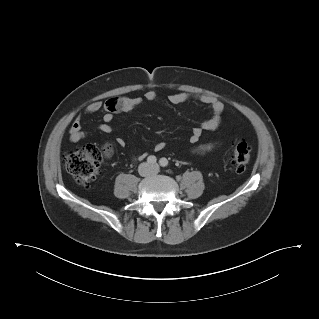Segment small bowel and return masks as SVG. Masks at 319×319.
Here are the masks:
<instances>
[{"label": "small bowel", "mask_w": 319, "mask_h": 319, "mask_svg": "<svg viewBox=\"0 0 319 319\" xmlns=\"http://www.w3.org/2000/svg\"><path fill=\"white\" fill-rule=\"evenodd\" d=\"M157 93L154 90H147L143 97H137V96H127V97H121V98H112L110 100L117 99V104L109 105V101L101 102V101H94L90 103L86 110V114H95L98 112H102V120L103 122L99 125L98 129L102 133L108 134L112 132V126L111 123L114 120L116 113H127L133 110L135 107H137L142 100H146L148 102H152L156 100ZM196 100L202 104L208 105L212 110V116L206 120H204L199 126L193 128L190 141L193 144H197L202 136L203 131L208 130L212 131L218 128V126L221 123L222 115L225 109L224 103L219 100L217 97L212 95H200V96H191L189 94L183 93V92H176L169 96V100L173 104H182L189 100ZM69 140L71 142H78L82 139H84L87 135V132L83 129L82 125V117L77 116L74 121L72 122L70 128H69ZM116 143L119 146H125V140L121 137H118L116 139ZM216 147L215 143H205L197 145L195 148V151L197 153H205L208 152ZM155 148L158 150H161L164 148L163 142H158L155 145ZM145 154H138L133 157L135 161L142 160L144 158Z\"/></svg>", "instance_id": "obj_1"}]
</instances>
